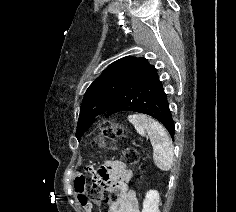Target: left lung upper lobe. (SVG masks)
<instances>
[{
  "label": "left lung upper lobe",
  "mask_w": 236,
  "mask_h": 212,
  "mask_svg": "<svg viewBox=\"0 0 236 212\" xmlns=\"http://www.w3.org/2000/svg\"><path fill=\"white\" fill-rule=\"evenodd\" d=\"M143 58L124 57L111 65L89 86L80 108L76 130L78 140L94 122V117L107 111L116 96L130 80Z\"/></svg>",
  "instance_id": "left-lung-upper-lobe-1"
}]
</instances>
